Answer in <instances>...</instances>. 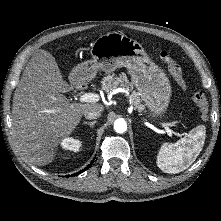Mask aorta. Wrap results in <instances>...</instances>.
<instances>
[{
	"instance_id": "aorta-1",
	"label": "aorta",
	"mask_w": 221,
	"mask_h": 221,
	"mask_svg": "<svg viewBox=\"0 0 221 221\" xmlns=\"http://www.w3.org/2000/svg\"><path fill=\"white\" fill-rule=\"evenodd\" d=\"M114 130L117 133H124L127 130V124L126 121L122 118L117 119L114 122Z\"/></svg>"
}]
</instances>
